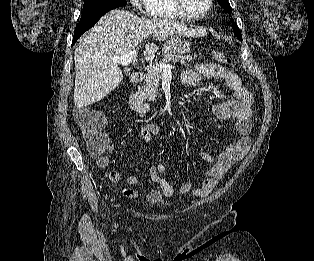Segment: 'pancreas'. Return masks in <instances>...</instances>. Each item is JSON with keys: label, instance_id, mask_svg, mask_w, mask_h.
<instances>
[{"label": "pancreas", "instance_id": "cf45deb5", "mask_svg": "<svg viewBox=\"0 0 314 261\" xmlns=\"http://www.w3.org/2000/svg\"><path fill=\"white\" fill-rule=\"evenodd\" d=\"M163 63L170 64L180 62L185 67L191 65L192 62L196 59V55H184L176 53L174 51H169L167 43L163 47ZM163 77V70L158 67L148 68L146 74L145 85L143 86L144 98L149 101H156V97H161V94L158 92L159 82Z\"/></svg>", "mask_w": 314, "mask_h": 261}]
</instances>
